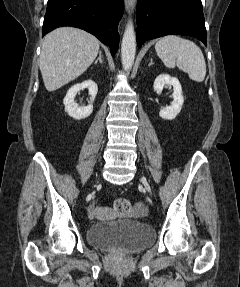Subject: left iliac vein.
<instances>
[{
  "mask_svg": "<svg viewBox=\"0 0 240 287\" xmlns=\"http://www.w3.org/2000/svg\"><path fill=\"white\" fill-rule=\"evenodd\" d=\"M141 181L144 184V186H145L146 190L148 191V193L152 194L151 188H150L147 180L145 178H142Z\"/></svg>",
  "mask_w": 240,
  "mask_h": 287,
  "instance_id": "obj_1",
  "label": "left iliac vein"
}]
</instances>
